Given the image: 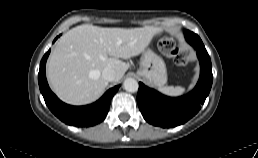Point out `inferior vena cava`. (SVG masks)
Segmentation results:
<instances>
[{
	"label": "inferior vena cava",
	"instance_id": "obj_1",
	"mask_svg": "<svg viewBox=\"0 0 258 158\" xmlns=\"http://www.w3.org/2000/svg\"><path fill=\"white\" fill-rule=\"evenodd\" d=\"M102 77L107 82H113L116 79V72L112 68H105L102 71Z\"/></svg>",
	"mask_w": 258,
	"mask_h": 158
}]
</instances>
